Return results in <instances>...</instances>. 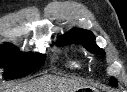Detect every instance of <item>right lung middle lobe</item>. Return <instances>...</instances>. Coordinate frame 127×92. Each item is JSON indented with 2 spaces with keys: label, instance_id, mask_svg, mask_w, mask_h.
I'll return each mask as SVG.
<instances>
[{
  "label": "right lung middle lobe",
  "instance_id": "obj_1",
  "mask_svg": "<svg viewBox=\"0 0 127 92\" xmlns=\"http://www.w3.org/2000/svg\"><path fill=\"white\" fill-rule=\"evenodd\" d=\"M0 66L5 67L4 78H20L35 71L43 65V54H21L14 46L3 44L0 46Z\"/></svg>",
  "mask_w": 127,
  "mask_h": 92
}]
</instances>
